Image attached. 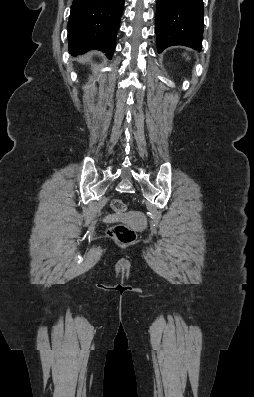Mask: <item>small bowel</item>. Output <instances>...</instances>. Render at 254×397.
<instances>
[{"label": "small bowel", "instance_id": "obj_1", "mask_svg": "<svg viewBox=\"0 0 254 397\" xmlns=\"http://www.w3.org/2000/svg\"><path fill=\"white\" fill-rule=\"evenodd\" d=\"M120 219H121V217L118 215H108V216H105L104 221L107 223H113V222L119 221Z\"/></svg>", "mask_w": 254, "mask_h": 397}]
</instances>
